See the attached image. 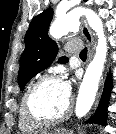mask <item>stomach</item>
Here are the masks:
<instances>
[{
    "label": "stomach",
    "instance_id": "1",
    "mask_svg": "<svg viewBox=\"0 0 116 134\" xmlns=\"http://www.w3.org/2000/svg\"><path fill=\"white\" fill-rule=\"evenodd\" d=\"M50 134H52V133H50ZM53 134H66L64 131H62V130H57L55 133H53Z\"/></svg>",
    "mask_w": 116,
    "mask_h": 134
}]
</instances>
